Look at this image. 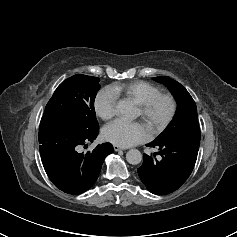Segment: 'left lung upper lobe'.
I'll use <instances>...</instances> for the list:
<instances>
[{"mask_svg":"<svg viewBox=\"0 0 237 237\" xmlns=\"http://www.w3.org/2000/svg\"><path fill=\"white\" fill-rule=\"evenodd\" d=\"M153 79L167 86L177 102L173 120L154 141H200L197 108L189 92L180 83L167 76Z\"/></svg>","mask_w":237,"mask_h":237,"instance_id":"5c2ea615","label":"left lung upper lobe"}]
</instances>
